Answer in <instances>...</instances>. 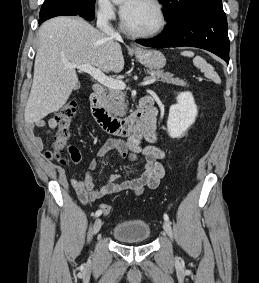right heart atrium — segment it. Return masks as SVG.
I'll return each mask as SVG.
<instances>
[{"label": "right heart atrium", "mask_w": 259, "mask_h": 283, "mask_svg": "<svg viewBox=\"0 0 259 283\" xmlns=\"http://www.w3.org/2000/svg\"><path fill=\"white\" fill-rule=\"evenodd\" d=\"M96 16L104 21H111L116 16V9L110 0H95Z\"/></svg>", "instance_id": "right-heart-atrium-1"}]
</instances>
